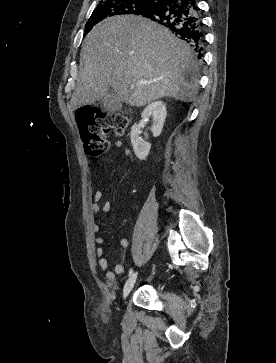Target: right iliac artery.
Returning a JSON list of instances; mask_svg holds the SVG:
<instances>
[{
  "label": "right iliac artery",
  "mask_w": 276,
  "mask_h": 363,
  "mask_svg": "<svg viewBox=\"0 0 276 363\" xmlns=\"http://www.w3.org/2000/svg\"><path fill=\"white\" fill-rule=\"evenodd\" d=\"M133 273V269H130L128 276L130 277Z\"/></svg>",
  "instance_id": "obj_1"
}]
</instances>
